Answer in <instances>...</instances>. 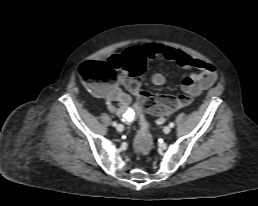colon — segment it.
<instances>
[{"mask_svg":"<svg viewBox=\"0 0 258 206\" xmlns=\"http://www.w3.org/2000/svg\"><path fill=\"white\" fill-rule=\"evenodd\" d=\"M145 66L146 58L140 53L127 58L122 65V80L128 91L136 97L140 108L153 114L165 115L192 102V96L188 94L165 96L142 90L140 77L145 71ZM117 69L109 62L88 61L80 66L79 76L89 87L99 89L102 85L118 79ZM152 145L153 136L149 124L144 117H141L135 137V151L138 155L147 156Z\"/></svg>","mask_w":258,"mask_h":206,"instance_id":"obj_1","label":"colon"}]
</instances>
